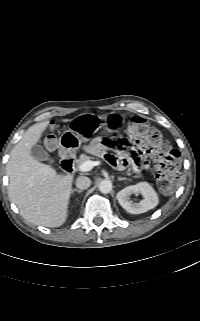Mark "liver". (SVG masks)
I'll return each instance as SVG.
<instances>
[{
	"label": "liver",
	"mask_w": 200,
	"mask_h": 321,
	"mask_svg": "<svg viewBox=\"0 0 200 321\" xmlns=\"http://www.w3.org/2000/svg\"><path fill=\"white\" fill-rule=\"evenodd\" d=\"M49 123L32 125L12 149L6 166L8 195L28 222L60 227L67 219L73 176L57 174L54 168L31 155L32 147L40 141Z\"/></svg>",
	"instance_id": "obj_1"
}]
</instances>
